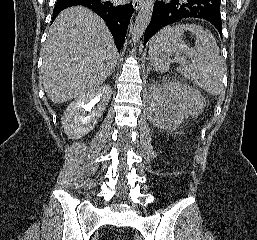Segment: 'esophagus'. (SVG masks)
Returning <instances> with one entry per match:
<instances>
[{
  "label": "esophagus",
  "mask_w": 257,
  "mask_h": 240,
  "mask_svg": "<svg viewBox=\"0 0 257 240\" xmlns=\"http://www.w3.org/2000/svg\"><path fill=\"white\" fill-rule=\"evenodd\" d=\"M143 4V0H133V7L137 11Z\"/></svg>",
  "instance_id": "obj_1"
}]
</instances>
